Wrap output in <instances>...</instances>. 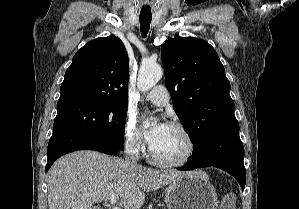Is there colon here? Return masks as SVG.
I'll use <instances>...</instances> for the list:
<instances>
[{"instance_id":"1","label":"colon","mask_w":299,"mask_h":209,"mask_svg":"<svg viewBox=\"0 0 299 209\" xmlns=\"http://www.w3.org/2000/svg\"><path fill=\"white\" fill-rule=\"evenodd\" d=\"M218 209H235V199L231 194H228L220 203Z\"/></svg>"}]
</instances>
